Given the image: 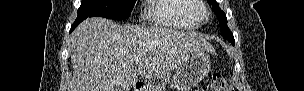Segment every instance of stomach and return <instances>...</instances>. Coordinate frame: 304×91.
Here are the masks:
<instances>
[{
    "label": "stomach",
    "instance_id": "stomach-1",
    "mask_svg": "<svg viewBox=\"0 0 304 91\" xmlns=\"http://www.w3.org/2000/svg\"><path fill=\"white\" fill-rule=\"evenodd\" d=\"M209 70V52L205 50L194 51L177 68L171 88L176 91H190L208 74ZM145 91H157V89Z\"/></svg>",
    "mask_w": 304,
    "mask_h": 91
}]
</instances>
